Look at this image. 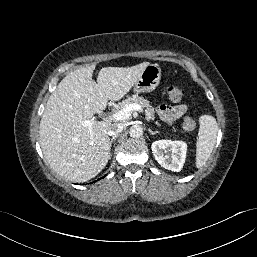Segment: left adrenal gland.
<instances>
[{
    "label": "left adrenal gland",
    "instance_id": "a2214340",
    "mask_svg": "<svg viewBox=\"0 0 257 257\" xmlns=\"http://www.w3.org/2000/svg\"><path fill=\"white\" fill-rule=\"evenodd\" d=\"M148 131H149L152 135L158 133V131H152L151 129H148Z\"/></svg>",
    "mask_w": 257,
    "mask_h": 257
}]
</instances>
